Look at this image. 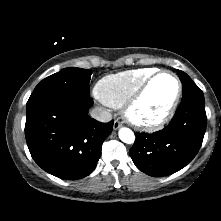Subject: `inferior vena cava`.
<instances>
[{
    "label": "inferior vena cava",
    "instance_id": "602c4592",
    "mask_svg": "<svg viewBox=\"0 0 221 221\" xmlns=\"http://www.w3.org/2000/svg\"><path fill=\"white\" fill-rule=\"evenodd\" d=\"M91 117L100 121V122H109L112 120V115L108 111L100 108L95 107L90 112Z\"/></svg>",
    "mask_w": 221,
    "mask_h": 221
}]
</instances>
